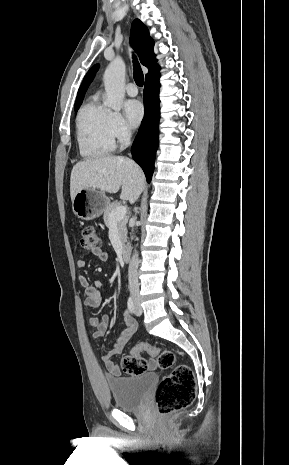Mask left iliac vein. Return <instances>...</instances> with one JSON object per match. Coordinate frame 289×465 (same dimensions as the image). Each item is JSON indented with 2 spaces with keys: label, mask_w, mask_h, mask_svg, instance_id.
I'll return each instance as SVG.
<instances>
[{
  "label": "left iliac vein",
  "mask_w": 289,
  "mask_h": 465,
  "mask_svg": "<svg viewBox=\"0 0 289 465\" xmlns=\"http://www.w3.org/2000/svg\"><path fill=\"white\" fill-rule=\"evenodd\" d=\"M141 313H142V310H141V308H140V306H139L138 301H136L135 314H136L137 316H139V315H141Z\"/></svg>",
  "instance_id": "left-iliac-vein-1"
}]
</instances>
